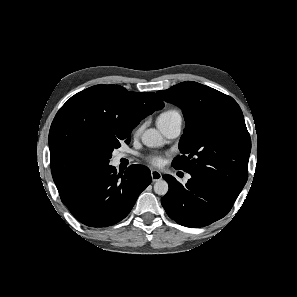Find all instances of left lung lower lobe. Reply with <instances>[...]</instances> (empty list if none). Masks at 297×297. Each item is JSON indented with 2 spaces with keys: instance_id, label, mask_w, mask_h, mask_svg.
Instances as JSON below:
<instances>
[{
  "instance_id": "1",
  "label": "left lung lower lobe",
  "mask_w": 297,
  "mask_h": 297,
  "mask_svg": "<svg viewBox=\"0 0 297 297\" xmlns=\"http://www.w3.org/2000/svg\"><path fill=\"white\" fill-rule=\"evenodd\" d=\"M169 184L161 199L168 216L178 224L200 228L223 218L231 210L236 196L225 189L192 176L185 186L174 177L165 175Z\"/></svg>"
}]
</instances>
